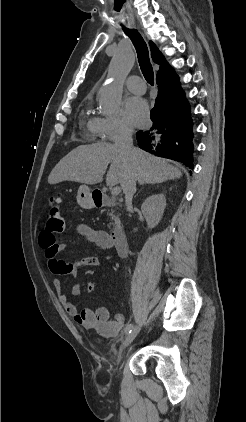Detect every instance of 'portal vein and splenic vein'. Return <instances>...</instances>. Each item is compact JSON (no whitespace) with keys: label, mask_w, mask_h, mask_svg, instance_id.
Segmentation results:
<instances>
[{"label":"portal vein and splenic vein","mask_w":246,"mask_h":422,"mask_svg":"<svg viewBox=\"0 0 246 422\" xmlns=\"http://www.w3.org/2000/svg\"><path fill=\"white\" fill-rule=\"evenodd\" d=\"M120 192H121V188L119 186L114 187L111 191L112 195H114V196L119 195Z\"/></svg>","instance_id":"obj_1"}]
</instances>
